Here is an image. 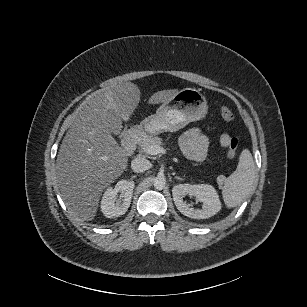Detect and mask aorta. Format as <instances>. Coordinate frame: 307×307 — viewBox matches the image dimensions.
I'll use <instances>...</instances> for the list:
<instances>
[{
	"mask_svg": "<svg viewBox=\"0 0 307 307\" xmlns=\"http://www.w3.org/2000/svg\"><path fill=\"white\" fill-rule=\"evenodd\" d=\"M166 186V179L164 176H157L154 179V187L158 190L164 189Z\"/></svg>",
	"mask_w": 307,
	"mask_h": 307,
	"instance_id": "762f6f07",
	"label": "aorta"
}]
</instances>
